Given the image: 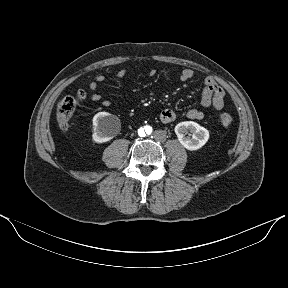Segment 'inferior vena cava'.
Listing matches in <instances>:
<instances>
[{
    "label": "inferior vena cava",
    "mask_w": 288,
    "mask_h": 288,
    "mask_svg": "<svg viewBox=\"0 0 288 288\" xmlns=\"http://www.w3.org/2000/svg\"><path fill=\"white\" fill-rule=\"evenodd\" d=\"M151 138L153 141H155L157 143H163L167 139V134L162 129H155L151 133Z\"/></svg>",
    "instance_id": "inferior-vena-cava-1"
}]
</instances>
